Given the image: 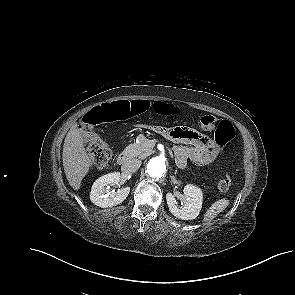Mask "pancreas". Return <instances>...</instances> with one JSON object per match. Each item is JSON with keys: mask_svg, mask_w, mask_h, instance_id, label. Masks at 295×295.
<instances>
[{"mask_svg": "<svg viewBox=\"0 0 295 295\" xmlns=\"http://www.w3.org/2000/svg\"><path fill=\"white\" fill-rule=\"evenodd\" d=\"M137 140L138 142L130 144L125 149L129 157H139L144 159L153 153V145L149 139H147L144 135H139Z\"/></svg>", "mask_w": 295, "mask_h": 295, "instance_id": "cf45deb5", "label": "pancreas"}]
</instances>
